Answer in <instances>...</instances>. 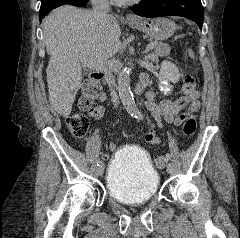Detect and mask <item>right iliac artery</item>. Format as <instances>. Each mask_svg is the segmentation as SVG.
Here are the masks:
<instances>
[{"mask_svg": "<svg viewBox=\"0 0 240 238\" xmlns=\"http://www.w3.org/2000/svg\"><path fill=\"white\" fill-rule=\"evenodd\" d=\"M101 165H103V162L101 160H98L97 161V166H101Z\"/></svg>", "mask_w": 240, "mask_h": 238, "instance_id": "right-iliac-artery-1", "label": "right iliac artery"}]
</instances>
